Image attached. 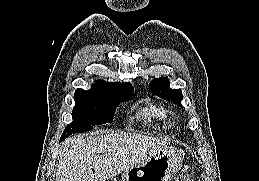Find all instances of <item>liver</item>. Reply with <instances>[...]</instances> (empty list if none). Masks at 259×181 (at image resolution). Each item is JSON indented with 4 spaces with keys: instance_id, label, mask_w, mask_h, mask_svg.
Masks as SVG:
<instances>
[{
    "instance_id": "obj_1",
    "label": "liver",
    "mask_w": 259,
    "mask_h": 181,
    "mask_svg": "<svg viewBox=\"0 0 259 181\" xmlns=\"http://www.w3.org/2000/svg\"><path fill=\"white\" fill-rule=\"evenodd\" d=\"M167 148L137 133L76 135L62 144L56 181H106Z\"/></svg>"
}]
</instances>
